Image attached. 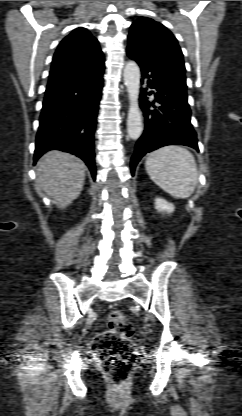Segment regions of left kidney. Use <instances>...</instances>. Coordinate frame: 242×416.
Listing matches in <instances>:
<instances>
[{
	"label": "left kidney",
	"mask_w": 242,
	"mask_h": 416,
	"mask_svg": "<svg viewBox=\"0 0 242 416\" xmlns=\"http://www.w3.org/2000/svg\"><path fill=\"white\" fill-rule=\"evenodd\" d=\"M155 208L159 212L172 213L174 211V205L172 203L167 202L165 199H162V198L155 199Z\"/></svg>",
	"instance_id": "5707ae66"
}]
</instances>
